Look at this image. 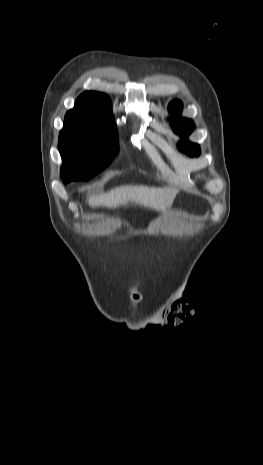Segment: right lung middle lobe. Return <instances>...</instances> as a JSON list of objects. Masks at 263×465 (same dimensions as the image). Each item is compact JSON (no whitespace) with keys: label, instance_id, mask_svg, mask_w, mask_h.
Here are the masks:
<instances>
[{"label":"right lung middle lobe","instance_id":"dd1d6c3e","mask_svg":"<svg viewBox=\"0 0 263 465\" xmlns=\"http://www.w3.org/2000/svg\"><path fill=\"white\" fill-rule=\"evenodd\" d=\"M58 148L63 160L62 180H88L103 170L117 152L115 124L65 116Z\"/></svg>","mask_w":263,"mask_h":465}]
</instances>
